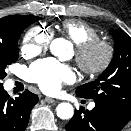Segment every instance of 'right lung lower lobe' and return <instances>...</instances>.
Here are the masks:
<instances>
[{
	"label": "right lung lower lobe",
	"mask_w": 131,
	"mask_h": 131,
	"mask_svg": "<svg viewBox=\"0 0 131 131\" xmlns=\"http://www.w3.org/2000/svg\"><path fill=\"white\" fill-rule=\"evenodd\" d=\"M37 102L38 96L28 90L13 99L0 87V131H24Z\"/></svg>",
	"instance_id": "98d812e1"
}]
</instances>
